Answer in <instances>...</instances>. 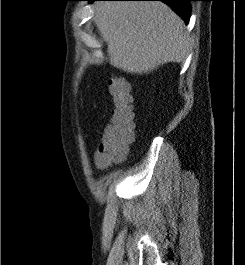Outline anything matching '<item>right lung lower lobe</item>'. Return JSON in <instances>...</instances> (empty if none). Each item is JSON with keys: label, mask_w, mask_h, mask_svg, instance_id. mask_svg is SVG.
Returning <instances> with one entry per match:
<instances>
[{"label": "right lung lower lobe", "mask_w": 245, "mask_h": 265, "mask_svg": "<svg viewBox=\"0 0 245 265\" xmlns=\"http://www.w3.org/2000/svg\"><path fill=\"white\" fill-rule=\"evenodd\" d=\"M90 3L101 0H87ZM124 1H162L168 4L186 23L189 22L191 8L189 1L192 0H124Z\"/></svg>", "instance_id": "obj_1"}]
</instances>
